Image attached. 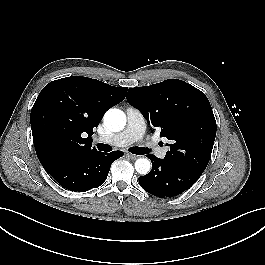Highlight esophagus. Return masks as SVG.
Here are the masks:
<instances>
[{"mask_svg": "<svg viewBox=\"0 0 265 265\" xmlns=\"http://www.w3.org/2000/svg\"><path fill=\"white\" fill-rule=\"evenodd\" d=\"M127 156L132 159V160H136L139 156L131 154V153H127Z\"/></svg>", "mask_w": 265, "mask_h": 265, "instance_id": "1", "label": "esophagus"}]
</instances>
